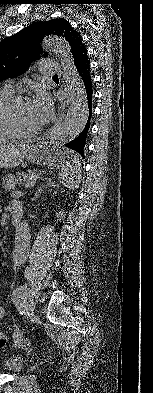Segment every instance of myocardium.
<instances>
[{
    "instance_id": "obj_1",
    "label": "myocardium",
    "mask_w": 153,
    "mask_h": 393,
    "mask_svg": "<svg viewBox=\"0 0 153 393\" xmlns=\"http://www.w3.org/2000/svg\"><path fill=\"white\" fill-rule=\"evenodd\" d=\"M28 103L26 97L16 98L8 104L5 112V121L7 127L15 136H29L36 133V130H29L27 132L20 130V123L18 121V109L21 105Z\"/></svg>"
}]
</instances>
